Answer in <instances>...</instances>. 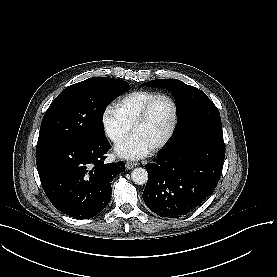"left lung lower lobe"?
<instances>
[{
  "mask_svg": "<svg viewBox=\"0 0 277 277\" xmlns=\"http://www.w3.org/2000/svg\"><path fill=\"white\" fill-rule=\"evenodd\" d=\"M209 149L225 153L222 132L197 131L181 143L161 151L156 162L146 164L149 177L142 196L147 207L159 216L177 218L204 201L219 181L209 180L210 176H220L223 168V163L201 160L202 151ZM184 159L197 160L198 172L202 173L190 176L181 172L179 162Z\"/></svg>",
  "mask_w": 277,
  "mask_h": 277,
  "instance_id": "1",
  "label": "left lung lower lobe"
}]
</instances>
